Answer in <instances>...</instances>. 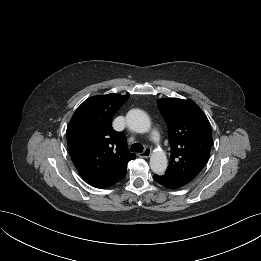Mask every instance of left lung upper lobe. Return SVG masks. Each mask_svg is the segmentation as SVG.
<instances>
[{
    "instance_id": "obj_1",
    "label": "left lung upper lobe",
    "mask_w": 261,
    "mask_h": 261,
    "mask_svg": "<svg viewBox=\"0 0 261 261\" xmlns=\"http://www.w3.org/2000/svg\"><path fill=\"white\" fill-rule=\"evenodd\" d=\"M157 104L167 122L171 145L165 175L188 184L208 161L213 142L210 123L192 100L167 98Z\"/></svg>"
}]
</instances>
